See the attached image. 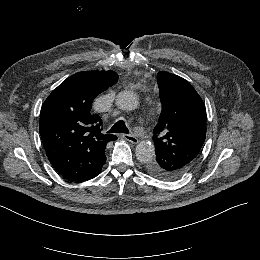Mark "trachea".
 I'll return each instance as SVG.
<instances>
[{
    "instance_id": "3493384b",
    "label": "trachea",
    "mask_w": 260,
    "mask_h": 260,
    "mask_svg": "<svg viewBox=\"0 0 260 260\" xmlns=\"http://www.w3.org/2000/svg\"><path fill=\"white\" fill-rule=\"evenodd\" d=\"M129 132L128 128L125 125V122L123 120H119L116 122L112 128L108 131V133H125L127 134Z\"/></svg>"
}]
</instances>
